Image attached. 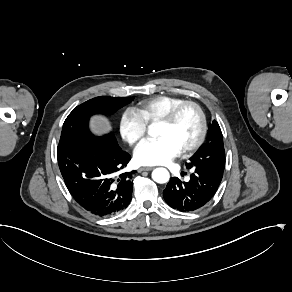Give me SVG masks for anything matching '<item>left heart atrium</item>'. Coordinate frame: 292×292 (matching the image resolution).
I'll return each instance as SVG.
<instances>
[{
  "label": "left heart atrium",
  "instance_id": "39dd6f15",
  "mask_svg": "<svg viewBox=\"0 0 292 292\" xmlns=\"http://www.w3.org/2000/svg\"><path fill=\"white\" fill-rule=\"evenodd\" d=\"M181 153L178 144L168 136H158L142 141L134 151V159L140 165L166 164Z\"/></svg>",
  "mask_w": 292,
  "mask_h": 292
}]
</instances>
